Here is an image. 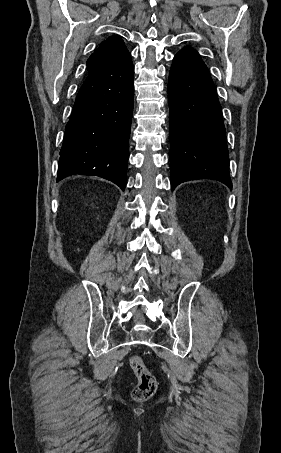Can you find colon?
<instances>
[{
    "mask_svg": "<svg viewBox=\"0 0 281 453\" xmlns=\"http://www.w3.org/2000/svg\"><path fill=\"white\" fill-rule=\"evenodd\" d=\"M129 368L131 373L140 381L132 393L133 399L137 402L148 400L156 387V379L152 370L137 356L130 358Z\"/></svg>",
    "mask_w": 281,
    "mask_h": 453,
    "instance_id": "obj_1",
    "label": "colon"
}]
</instances>
